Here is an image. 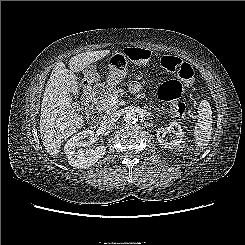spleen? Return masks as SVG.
Masks as SVG:
<instances>
[{"mask_svg":"<svg viewBox=\"0 0 245 245\" xmlns=\"http://www.w3.org/2000/svg\"><path fill=\"white\" fill-rule=\"evenodd\" d=\"M212 123L211 106L207 100H202L198 107V121L194 130L196 144L201 148L206 147L211 139Z\"/></svg>","mask_w":245,"mask_h":245,"instance_id":"3e777b00","label":"spleen"}]
</instances>
